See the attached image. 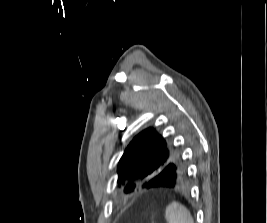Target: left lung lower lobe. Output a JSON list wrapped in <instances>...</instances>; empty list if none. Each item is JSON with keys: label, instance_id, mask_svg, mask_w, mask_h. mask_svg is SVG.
Returning <instances> with one entry per match:
<instances>
[{"label": "left lung lower lobe", "instance_id": "1", "mask_svg": "<svg viewBox=\"0 0 267 223\" xmlns=\"http://www.w3.org/2000/svg\"><path fill=\"white\" fill-rule=\"evenodd\" d=\"M187 176H192V171H164L153 173V180L141 182L139 190H145V195H175V190L190 189L186 182Z\"/></svg>", "mask_w": 267, "mask_h": 223}]
</instances>
